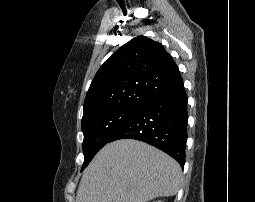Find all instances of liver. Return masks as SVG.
Here are the masks:
<instances>
[{"mask_svg": "<svg viewBox=\"0 0 255 202\" xmlns=\"http://www.w3.org/2000/svg\"><path fill=\"white\" fill-rule=\"evenodd\" d=\"M181 167L159 149L134 139L104 146L81 178L76 202H147L174 196Z\"/></svg>", "mask_w": 255, "mask_h": 202, "instance_id": "6515ba94", "label": "liver"}]
</instances>
